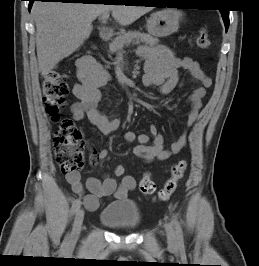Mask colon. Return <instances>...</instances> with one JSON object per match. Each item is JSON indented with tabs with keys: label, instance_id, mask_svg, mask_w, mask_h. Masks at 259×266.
<instances>
[{
	"label": "colon",
	"instance_id": "1",
	"mask_svg": "<svg viewBox=\"0 0 259 266\" xmlns=\"http://www.w3.org/2000/svg\"><path fill=\"white\" fill-rule=\"evenodd\" d=\"M196 43L201 49H207L210 46L206 28L202 27L198 31ZM68 90L65 74L56 69L46 74L43 83V103L46 113L58 122V130L55 133L53 145L57 164L66 175L78 173L82 169L85 147L83 135L74 123L69 119L60 117L61 112L66 107ZM186 169L187 162L185 160H180L172 165L169 178L157 194L159 200L165 201L171 197ZM124 172L125 168L122 165L115 168L117 176H122ZM139 189L146 196L154 194L156 186L150 172H146L141 178Z\"/></svg>",
	"mask_w": 259,
	"mask_h": 266
}]
</instances>
